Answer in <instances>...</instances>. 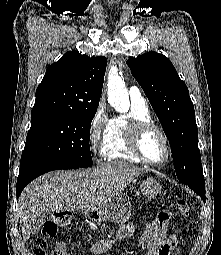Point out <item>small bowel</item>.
I'll return each mask as SVG.
<instances>
[{"label": "small bowel", "instance_id": "1", "mask_svg": "<svg viewBox=\"0 0 221 255\" xmlns=\"http://www.w3.org/2000/svg\"><path fill=\"white\" fill-rule=\"evenodd\" d=\"M137 226L128 223L120 227L115 236L106 237L95 242L90 248L91 255H103L118 240L132 237ZM138 248H146L145 255H178V241L175 235H167V229L161 233L150 234L147 230L140 237Z\"/></svg>", "mask_w": 221, "mask_h": 255}]
</instances>
